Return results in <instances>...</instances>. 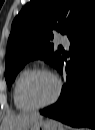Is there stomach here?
<instances>
[{"label":"stomach","mask_w":95,"mask_h":130,"mask_svg":"<svg viewBox=\"0 0 95 130\" xmlns=\"http://www.w3.org/2000/svg\"><path fill=\"white\" fill-rule=\"evenodd\" d=\"M29 130H64V129L59 122L47 119V120H38L37 122L33 123Z\"/></svg>","instance_id":"0dacf381"}]
</instances>
